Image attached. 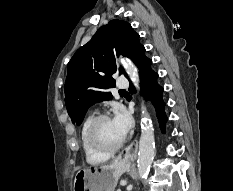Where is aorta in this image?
<instances>
[{
	"label": "aorta",
	"instance_id": "aorta-1",
	"mask_svg": "<svg viewBox=\"0 0 233 191\" xmlns=\"http://www.w3.org/2000/svg\"><path fill=\"white\" fill-rule=\"evenodd\" d=\"M121 62L130 79L139 91V74L137 67L129 59H122ZM141 111V136L139 140L137 168L140 178L146 179L155 156L154 128L143 101L141 104Z\"/></svg>",
	"mask_w": 233,
	"mask_h": 191
}]
</instances>
